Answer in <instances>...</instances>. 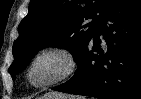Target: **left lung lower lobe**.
<instances>
[{"label": "left lung lower lobe", "mask_w": 141, "mask_h": 99, "mask_svg": "<svg viewBox=\"0 0 141 99\" xmlns=\"http://www.w3.org/2000/svg\"><path fill=\"white\" fill-rule=\"evenodd\" d=\"M101 34L107 52L101 49ZM53 90L99 99H141V0H117L107 9L74 76Z\"/></svg>", "instance_id": "left-lung-lower-lobe-1"}]
</instances>
